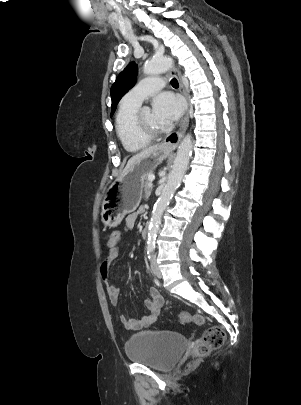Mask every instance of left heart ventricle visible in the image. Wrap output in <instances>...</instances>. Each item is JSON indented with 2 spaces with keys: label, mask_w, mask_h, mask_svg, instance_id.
Masks as SVG:
<instances>
[{
  "label": "left heart ventricle",
  "mask_w": 301,
  "mask_h": 405,
  "mask_svg": "<svg viewBox=\"0 0 301 405\" xmlns=\"http://www.w3.org/2000/svg\"><path fill=\"white\" fill-rule=\"evenodd\" d=\"M142 119L148 128L160 130L163 129L164 126L156 119L155 115L150 110H144L142 112Z\"/></svg>",
  "instance_id": "b2bd125f"
}]
</instances>
